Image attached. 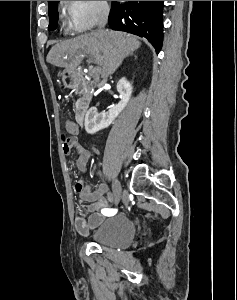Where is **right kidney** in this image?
<instances>
[{
  "label": "right kidney",
  "mask_w": 237,
  "mask_h": 300,
  "mask_svg": "<svg viewBox=\"0 0 237 300\" xmlns=\"http://www.w3.org/2000/svg\"><path fill=\"white\" fill-rule=\"evenodd\" d=\"M132 89L131 83L126 81L125 77H122L117 83V91L121 95V101H119L116 107H112V109H109L106 113H98L96 107H91L85 115V131H87L89 135H94V133H98V131L109 127V125L115 121L116 117L122 113L127 103H129Z\"/></svg>",
  "instance_id": "right-kidney-1"
}]
</instances>
